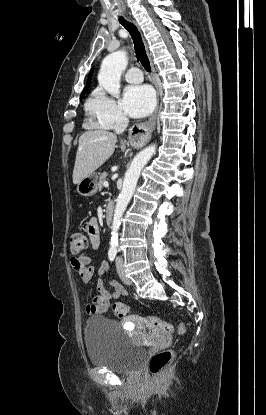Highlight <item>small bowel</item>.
Instances as JSON below:
<instances>
[{"label":"small bowel","instance_id":"1","mask_svg":"<svg viewBox=\"0 0 266 415\" xmlns=\"http://www.w3.org/2000/svg\"><path fill=\"white\" fill-rule=\"evenodd\" d=\"M84 230L86 231L90 246L92 249H98L100 245V232L98 221L96 217H91L88 222L84 224ZM72 268L80 275L84 283H89L94 276L95 268L92 265V257L84 252L78 257L71 259ZM109 271V264L107 261H103L97 273L100 277L106 275ZM110 285L113 287V291L109 292L102 279H98L96 282L97 296L94 301L86 306L88 314H103L108 311L112 300L118 299L125 295L126 291L119 283L114 280L110 281Z\"/></svg>","mask_w":266,"mask_h":415}]
</instances>
